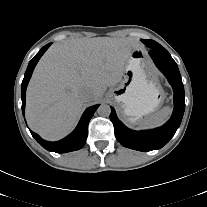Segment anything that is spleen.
<instances>
[{
    "mask_svg": "<svg viewBox=\"0 0 207 207\" xmlns=\"http://www.w3.org/2000/svg\"><path fill=\"white\" fill-rule=\"evenodd\" d=\"M172 114V108L169 106L163 107L158 112L152 114L138 124L139 129L153 128L163 125Z\"/></svg>",
    "mask_w": 207,
    "mask_h": 207,
    "instance_id": "3e777b00",
    "label": "spleen"
}]
</instances>
